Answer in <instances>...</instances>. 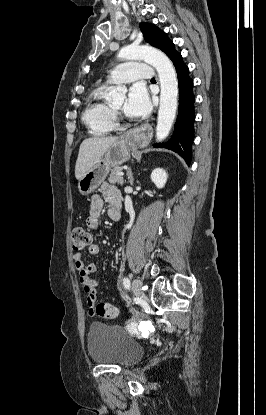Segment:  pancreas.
I'll use <instances>...</instances> for the list:
<instances>
[{"label": "pancreas", "mask_w": 266, "mask_h": 415, "mask_svg": "<svg viewBox=\"0 0 266 415\" xmlns=\"http://www.w3.org/2000/svg\"><path fill=\"white\" fill-rule=\"evenodd\" d=\"M122 171V167L116 166L111 170L110 176H109V183L111 184H118L123 185L124 179L122 176H119L118 173Z\"/></svg>", "instance_id": "pancreas-1"}]
</instances>
